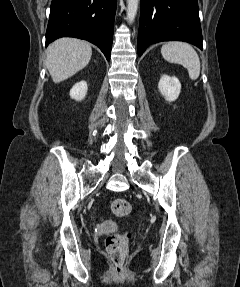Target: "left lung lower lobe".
I'll return each instance as SVG.
<instances>
[{
    "label": "left lung lower lobe",
    "instance_id": "left-lung-lower-lobe-1",
    "mask_svg": "<svg viewBox=\"0 0 240 287\" xmlns=\"http://www.w3.org/2000/svg\"><path fill=\"white\" fill-rule=\"evenodd\" d=\"M169 40L203 48L197 0H141L138 55L155 42Z\"/></svg>",
    "mask_w": 240,
    "mask_h": 287
}]
</instances>
